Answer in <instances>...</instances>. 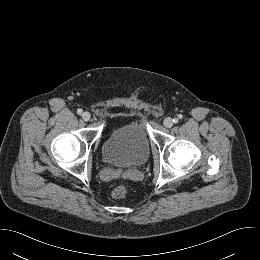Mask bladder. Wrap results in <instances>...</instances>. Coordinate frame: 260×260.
I'll return each mask as SVG.
<instances>
[{
    "mask_svg": "<svg viewBox=\"0 0 260 260\" xmlns=\"http://www.w3.org/2000/svg\"><path fill=\"white\" fill-rule=\"evenodd\" d=\"M150 147L144 123L134 119L126 126L111 130L103 143L101 154L108 164L129 168L145 163Z\"/></svg>",
    "mask_w": 260,
    "mask_h": 260,
    "instance_id": "31cf9c89",
    "label": "bladder"
}]
</instances>
